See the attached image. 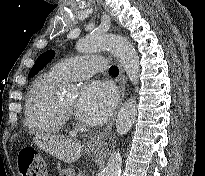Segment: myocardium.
<instances>
[{
    "instance_id": "obj_1",
    "label": "myocardium",
    "mask_w": 205,
    "mask_h": 176,
    "mask_svg": "<svg viewBox=\"0 0 205 176\" xmlns=\"http://www.w3.org/2000/svg\"><path fill=\"white\" fill-rule=\"evenodd\" d=\"M58 111L64 118H69L72 115V111L63 108L59 103H58Z\"/></svg>"
}]
</instances>
